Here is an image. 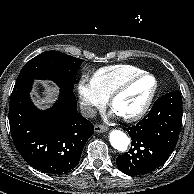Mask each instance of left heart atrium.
I'll return each mask as SVG.
<instances>
[{
	"label": "left heart atrium",
	"instance_id": "1",
	"mask_svg": "<svg viewBox=\"0 0 194 194\" xmlns=\"http://www.w3.org/2000/svg\"><path fill=\"white\" fill-rule=\"evenodd\" d=\"M117 113L115 111L112 112V115H116Z\"/></svg>",
	"mask_w": 194,
	"mask_h": 194
}]
</instances>
